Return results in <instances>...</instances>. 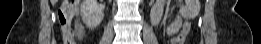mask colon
<instances>
[{"label":"colon","mask_w":261,"mask_h":44,"mask_svg":"<svg viewBox=\"0 0 261 44\" xmlns=\"http://www.w3.org/2000/svg\"><path fill=\"white\" fill-rule=\"evenodd\" d=\"M184 2H188L190 4H199L198 0H186ZM71 1H65V5L62 7L61 11L65 17V26H67L68 22L72 20L71 14L73 13V10L70 6ZM190 29V24L188 21H186L180 30V32L173 38L172 43L173 44H183L186 41L187 34Z\"/></svg>","instance_id":"1"}]
</instances>
